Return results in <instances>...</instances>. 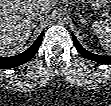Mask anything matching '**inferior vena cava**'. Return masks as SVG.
Returning a JSON list of instances; mask_svg holds the SVG:
<instances>
[{"label":"inferior vena cava","mask_w":111,"mask_h":106,"mask_svg":"<svg viewBox=\"0 0 111 106\" xmlns=\"http://www.w3.org/2000/svg\"><path fill=\"white\" fill-rule=\"evenodd\" d=\"M47 15H48V11L47 10H45V9H38L35 12V19L37 21H42V20H44L47 17Z\"/></svg>","instance_id":"inferior-vena-cava-1"}]
</instances>
